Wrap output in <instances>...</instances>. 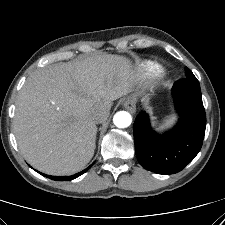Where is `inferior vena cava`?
<instances>
[{
    "mask_svg": "<svg viewBox=\"0 0 225 225\" xmlns=\"http://www.w3.org/2000/svg\"><path fill=\"white\" fill-rule=\"evenodd\" d=\"M109 114L110 107H103L93 113L92 119L96 124L103 123L107 120Z\"/></svg>",
    "mask_w": 225,
    "mask_h": 225,
    "instance_id": "inferior-vena-cava-1",
    "label": "inferior vena cava"
}]
</instances>
